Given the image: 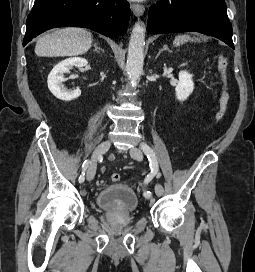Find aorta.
I'll use <instances>...</instances> for the list:
<instances>
[{
  "instance_id": "aorta-1",
  "label": "aorta",
  "mask_w": 255,
  "mask_h": 272,
  "mask_svg": "<svg viewBox=\"0 0 255 272\" xmlns=\"http://www.w3.org/2000/svg\"><path fill=\"white\" fill-rule=\"evenodd\" d=\"M145 46V28L141 23H136L130 36L126 71L130 85L135 88L143 73Z\"/></svg>"
}]
</instances>
